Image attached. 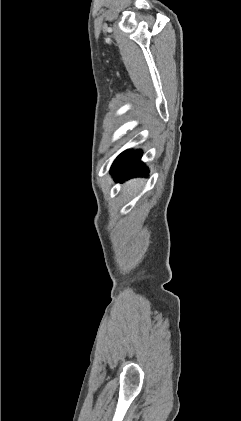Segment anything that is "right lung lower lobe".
I'll use <instances>...</instances> for the list:
<instances>
[{"mask_svg":"<svg viewBox=\"0 0 241 421\" xmlns=\"http://www.w3.org/2000/svg\"><path fill=\"white\" fill-rule=\"evenodd\" d=\"M142 151L127 150L121 153L112 165L111 172L116 181L128 178L144 176L148 174V168L140 161Z\"/></svg>","mask_w":241,"mask_h":421,"instance_id":"obj_1","label":"right lung lower lobe"}]
</instances>
